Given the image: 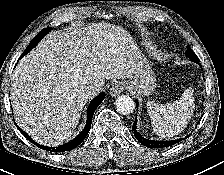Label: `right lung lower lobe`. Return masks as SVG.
Returning a JSON list of instances; mask_svg holds the SVG:
<instances>
[{
	"label": "right lung lower lobe",
	"mask_w": 224,
	"mask_h": 175,
	"mask_svg": "<svg viewBox=\"0 0 224 175\" xmlns=\"http://www.w3.org/2000/svg\"><path fill=\"white\" fill-rule=\"evenodd\" d=\"M34 47L35 46L28 47L22 54L21 58L23 56H25L29 51H31ZM104 98H105L104 92L100 93L96 98H94V100L89 104L88 109H87V121H86L85 128L76 138H74L73 140L69 141L68 143H66L64 145H60L58 147H46V146L40 145V144L36 143L35 141H33L31 139V137L27 133L22 131L19 127H17V128L29 141H31L34 145H36L37 147H39L41 149L51 151V152L70 151V150L76 148L78 145H80L82 143V141L86 138V136L91 128L93 114H94L96 108L98 107V105L103 101Z\"/></svg>",
	"instance_id": "1"
}]
</instances>
